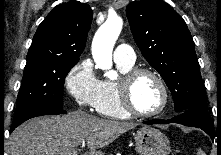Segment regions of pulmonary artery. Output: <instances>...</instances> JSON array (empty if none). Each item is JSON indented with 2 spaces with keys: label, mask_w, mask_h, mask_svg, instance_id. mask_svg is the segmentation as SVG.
Returning <instances> with one entry per match:
<instances>
[{
  "label": "pulmonary artery",
  "mask_w": 221,
  "mask_h": 155,
  "mask_svg": "<svg viewBox=\"0 0 221 155\" xmlns=\"http://www.w3.org/2000/svg\"><path fill=\"white\" fill-rule=\"evenodd\" d=\"M115 62H121L126 64H134L136 60V55L131 46L127 44H120L116 47L114 51Z\"/></svg>",
  "instance_id": "1"
}]
</instances>
